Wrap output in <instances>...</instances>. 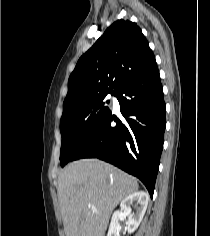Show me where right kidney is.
Returning a JSON list of instances; mask_svg holds the SVG:
<instances>
[{"mask_svg":"<svg viewBox=\"0 0 210 236\" xmlns=\"http://www.w3.org/2000/svg\"><path fill=\"white\" fill-rule=\"evenodd\" d=\"M149 195L144 191L135 192L127 196L120 204V210L116 211L109 226L107 236H120L121 230L118 221L120 218L128 217L126 222L128 234L133 233L139 226L147 209ZM139 205L135 212H132L131 205Z\"/></svg>","mask_w":210,"mask_h":236,"instance_id":"1","label":"right kidney"}]
</instances>
